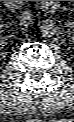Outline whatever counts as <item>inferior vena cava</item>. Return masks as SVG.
Wrapping results in <instances>:
<instances>
[{
	"mask_svg": "<svg viewBox=\"0 0 74 122\" xmlns=\"http://www.w3.org/2000/svg\"><path fill=\"white\" fill-rule=\"evenodd\" d=\"M19 21L21 25L28 26L33 24L34 21V16L32 12L29 11H24L20 16H19Z\"/></svg>",
	"mask_w": 74,
	"mask_h": 122,
	"instance_id": "1",
	"label": "inferior vena cava"
}]
</instances>
